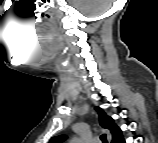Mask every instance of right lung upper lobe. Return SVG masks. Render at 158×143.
Segmentation results:
<instances>
[{
  "label": "right lung upper lobe",
  "mask_w": 158,
  "mask_h": 143,
  "mask_svg": "<svg viewBox=\"0 0 158 143\" xmlns=\"http://www.w3.org/2000/svg\"><path fill=\"white\" fill-rule=\"evenodd\" d=\"M96 111L99 114L100 125L108 129L112 135V143H117L123 139L121 130L116 126L113 119L106 115V113L99 107H95ZM65 135H60L51 139L53 143H61L66 140Z\"/></svg>",
  "instance_id": "cb5924a9"
}]
</instances>
